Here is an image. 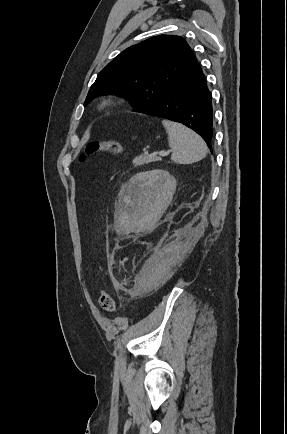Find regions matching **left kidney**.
<instances>
[{"label": "left kidney", "instance_id": "5707ae66", "mask_svg": "<svg viewBox=\"0 0 287 434\" xmlns=\"http://www.w3.org/2000/svg\"><path fill=\"white\" fill-rule=\"evenodd\" d=\"M175 190L176 180L168 171L156 169L138 173L124 187L123 202L127 214L144 221L158 218L154 215L155 210H165Z\"/></svg>", "mask_w": 287, "mask_h": 434}]
</instances>
